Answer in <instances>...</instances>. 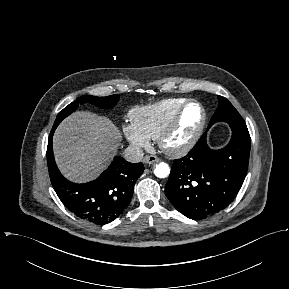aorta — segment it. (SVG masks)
<instances>
[{
  "mask_svg": "<svg viewBox=\"0 0 289 289\" xmlns=\"http://www.w3.org/2000/svg\"><path fill=\"white\" fill-rule=\"evenodd\" d=\"M154 174L158 178H165L170 174V167L168 166V164L161 162L156 165L154 169Z\"/></svg>",
  "mask_w": 289,
  "mask_h": 289,
  "instance_id": "762f6f07",
  "label": "aorta"
}]
</instances>
